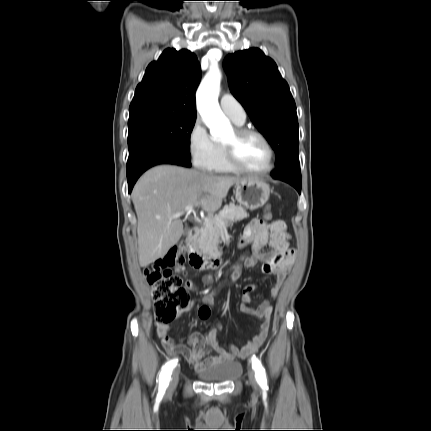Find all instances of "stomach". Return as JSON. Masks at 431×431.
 <instances>
[{"instance_id":"stomach-1","label":"stomach","mask_w":431,"mask_h":431,"mask_svg":"<svg viewBox=\"0 0 431 431\" xmlns=\"http://www.w3.org/2000/svg\"><path fill=\"white\" fill-rule=\"evenodd\" d=\"M269 196V185L255 177L244 178L235 185L237 202L251 210L262 207Z\"/></svg>"}]
</instances>
